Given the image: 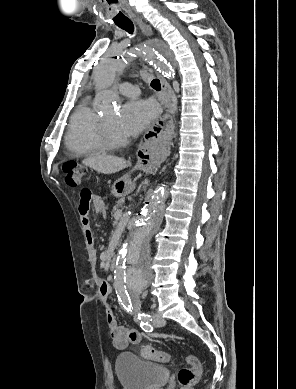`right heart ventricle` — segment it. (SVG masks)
Masks as SVG:
<instances>
[{"label": "right heart ventricle", "instance_id": "e07e8e85", "mask_svg": "<svg viewBox=\"0 0 296 389\" xmlns=\"http://www.w3.org/2000/svg\"><path fill=\"white\" fill-rule=\"evenodd\" d=\"M100 117L83 102L73 113L65 136L67 149L76 156H92L106 149L99 137Z\"/></svg>", "mask_w": 296, "mask_h": 389}]
</instances>
